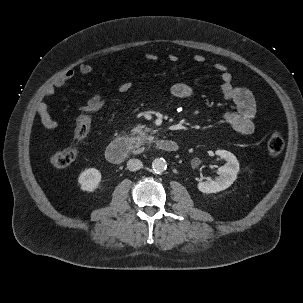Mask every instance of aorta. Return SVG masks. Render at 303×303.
I'll return each instance as SVG.
<instances>
[{"mask_svg": "<svg viewBox=\"0 0 303 303\" xmlns=\"http://www.w3.org/2000/svg\"><path fill=\"white\" fill-rule=\"evenodd\" d=\"M152 168L156 173H162L167 168V162L164 158H156L152 162Z\"/></svg>", "mask_w": 303, "mask_h": 303, "instance_id": "762f6f07", "label": "aorta"}]
</instances>
